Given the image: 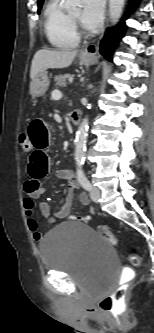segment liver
I'll list each match as a JSON object with an SVG mask.
<instances>
[{"label":"liver","mask_w":154,"mask_h":333,"mask_svg":"<svg viewBox=\"0 0 154 333\" xmlns=\"http://www.w3.org/2000/svg\"><path fill=\"white\" fill-rule=\"evenodd\" d=\"M77 51L69 49L61 50H49L41 49L36 52L32 60L30 78L34 79L35 76L43 70L46 69H55V68H65L69 67Z\"/></svg>","instance_id":"6515ba94"}]
</instances>
